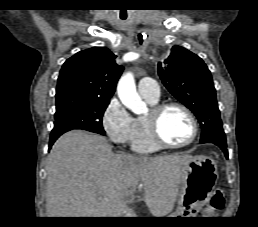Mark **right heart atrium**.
Returning a JSON list of instances; mask_svg holds the SVG:
<instances>
[{
  "mask_svg": "<svg viewBox=\"0 0 258 227\" xmlns=\"http://www.w3.org/2000/svg\"><path fill=\"white\" fill-rule=\"evenodd\" d=\"M102 127L117 145L130 144L136 134L135 118L118 99H112L107 105L102 116Z\"/></svg>",
  "mask_w": 258,
  "mask_h": 227,
  "instance_id": "right-heart-atrium-1",
  "label": "right heart atrium"
}]
</instances>
